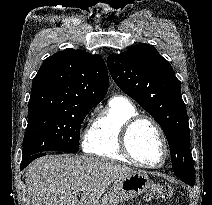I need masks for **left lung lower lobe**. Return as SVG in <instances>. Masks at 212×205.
<instances>
[{"instance_id": "left-lung-lower-lobe-1", "label": "left lung lower lobe", "mask_w": 212, "mask_h": 205, "mask_svg": "<svg viewBox=\"0 0 212 205\" xmlns=\"http://www.w3.org/2000/svg\"><path fill=\"white\" fill-rule=\"evenodd\" d=\"M181 181H183L184 183L193 186L195 183V180H189V179H183V178H179Z\"/></svg>"}]
</instances>
